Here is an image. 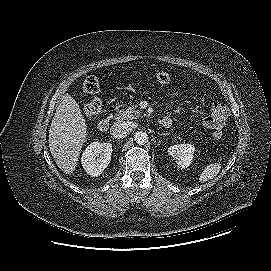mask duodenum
Masks as SVG:
<instances>
[{"instance_id": "obj_1", "label": "duodenum", "mask_w": 271, "mask_h": 271, "mask_svg": "<svg viewBox=\"0 0 271 271\" xmlns=\"http://www.w3.org/2000/svg\"><path fill=\"white\" fill-rule=\"evenodd\" d=\"M110 117L106 116L104 118H102L99 122H98V130L101 131V132H106L108 129H109V125H110ZM161 124L168 128L171 126L172 124V121L170 118L168 117H164L162 120H161Z\"/></svg>"}]
</instances>
